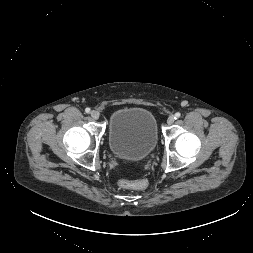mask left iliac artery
<instances>
[{
    "label": "left iliac artery",
    "instance_id": "obj_1",
    "mask_svg": "<svg viewBox=\"0 0 253 253\" xmlns=\"http://www.w3.org/2000/svg\"><path fill=\"white\" fill-rule=\"evenodd\" d=\"M181 116V114L179 112L175 113L174 117L175 119H178Z\"/></svg>",
    "mask_w": 253,
    "mask_h": 253
}]
</instances>
